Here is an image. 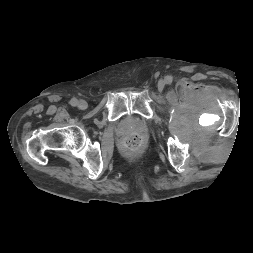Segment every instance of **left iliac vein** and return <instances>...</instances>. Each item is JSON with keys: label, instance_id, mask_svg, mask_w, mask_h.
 <instances>
[{"label": "left iliac vein", "instance_id": "obj_1", "mask_svg": "<svg viewBox=\"0 0 253 253\" xmlns=\"http://www.w3.org/2000/svg\"><path fill=\"white\" fill-rule=\"evenodd\" d=\"M164 86H165L164 81H159V83H158V89L159 90H163Z\"/></svg>", "mask_w": 253, "mask_h": 253}]
</instances>
